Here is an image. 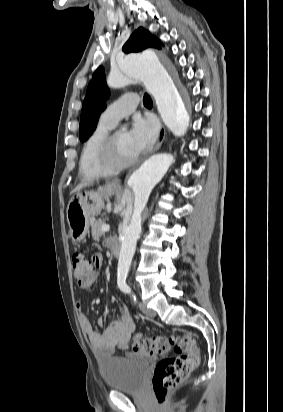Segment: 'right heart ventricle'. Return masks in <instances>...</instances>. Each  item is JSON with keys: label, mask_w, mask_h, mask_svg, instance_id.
Returning a JSON list of instances; mask_svg holds the SVG:
<instances>
[{"label": "right heart ventricle", "mask_w": 283, "mask_h": 412, "mask_svg": "<svg viewBox=\"0 0 283 412\" xmlns=\"http://www.w3.org/2000/svg\"><path fill=\"white\" fill-rule=\"evenodd\" d=\"M112 126L99 121L83 144L79 159V174L84 180L112 174L100 162V154Z\"/></svg>", "instance_id": "e07e8e85"}]
</instances>
